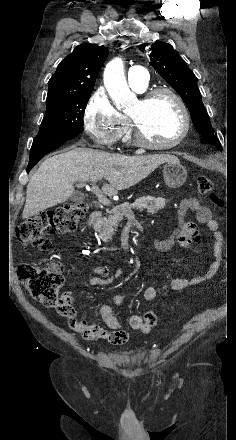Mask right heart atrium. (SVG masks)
<instances>
[{
    "mask_svg": "<svg viewBox=\"0 0 236 440\" xmlns=\"http://www.w3.org/2000/svg\"><path fill=\"white\" fill-rule=\"evenodd\" d=\"M83 124L87 134L102 148H112L123 136L124 120L102 87L91 93L84 109Z\"/></svg>",
    "mask_w": 236,
    "mask_h": 440,
    "instance_id": "1",
    "label": "right heart atrium"
}]
</instances>
